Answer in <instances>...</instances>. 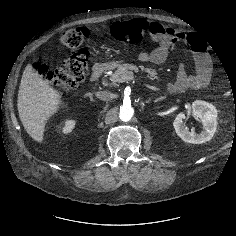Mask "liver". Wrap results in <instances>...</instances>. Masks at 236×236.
<instances>
[{
  "mask_svg": "<svg viewBox=\"0 0 236 236\" xmlns=\"http://www.w3.org/2000/svg\"><path fill=\"white\" fill-rule=\"evenodd\" d=\"M62 105V94L28 64L22 75L17 108L24 129L33 140L43 143L46 123Z\"/></svg>",
  "mask_w": 236,
  "mask_h": 236,
  "instance_id": "liver-1",
  "label": "liver"
}]
</instances>
